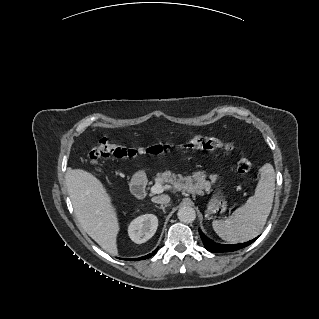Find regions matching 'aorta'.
<instances>
[{"label":"aorta","instance_id":"aorta-1","mask_svg":"<svg viewBox=\"0 0 319 319\" xmlns=\"http://www.w3.org/2000/svg\"><path fill=\"white\" fill-rule=\"evenodd\" d=\"M177 216L182 223L189 224L196 219V212L190 206H182L179 208Z\"/></svg>","mask_w":319,"mask_h":319}]
</instances>
